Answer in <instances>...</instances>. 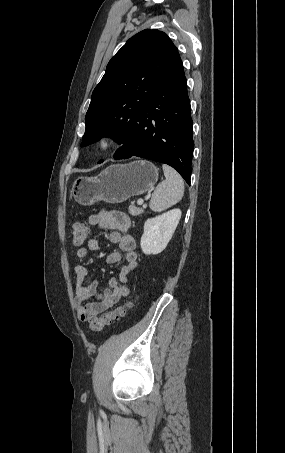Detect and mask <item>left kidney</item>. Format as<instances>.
<instances>
[{
  "label": "left kidney",
  "mask_w": 285,
  "mask_h": 453,
  "mask_svg": "<svg viewBox=\"0 0 285 453\" xmlns=\"http://www.w3.org/2000/svg\"><path fill=\"white\" fill-rule=\"evenodd\" d=\"M181 214L180 209H172L145 222L140 242L144 254L156 255L166 248L179 223Z\"/></svg>",
  "instance_id": "left-kidney-1"
}]
</instances>
